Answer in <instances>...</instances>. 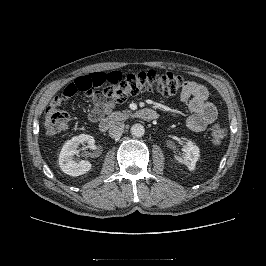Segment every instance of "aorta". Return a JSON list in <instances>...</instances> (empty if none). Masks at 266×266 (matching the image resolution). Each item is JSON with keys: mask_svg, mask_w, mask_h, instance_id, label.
I'll use <instances>...</instances> for the list:
<instances>
[{"mask_svg": "<svg viewBox=\"0 0 266 266\" xmlns=\"http://www.w3.org/2000/svg\"><path fill=\"white\" fill-rule=\"evenodd\" d=\"M145 133V128L142 124L136 123L131 127V134L135 137H142Z\"/></svg>", "mask_w": 266, "mask_h": 266, "instance_id": "1", "label": "aorta"}]
</instances>
